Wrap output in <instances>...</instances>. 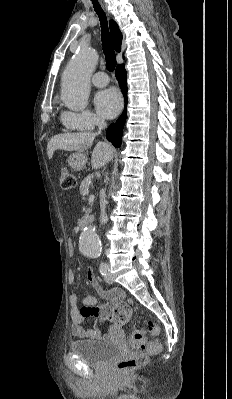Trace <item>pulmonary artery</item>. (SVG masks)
Instances as JSON below:
<instances>
[{"instance_id": "obj_1", "label": "pulmonary artery", "mask_w": 232, "mask_h": 399, "mask_svg": "<svg viewBox=\"0 0 232 399\" xmlns=\"http://www.w3.org/2000/svg\"><path fill=\"white\" fill-rule=\"evenodd\" d=\"M94 84H95V89L100 88V85L97 84H102L104 86L105 84H109V77L107 73H103L102 70H99L96 77H94Z\"/></svg>"}]
</instances>
